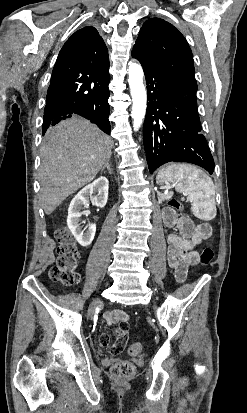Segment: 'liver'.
<instances>
[{
	"label": "liver",
	"instance_id": "1",
	"mask_svg": "<svg viewBox=\"0 0 247 413\" xmlns=\"http://www.w3.org/2000/svg\"><path fill=\"white\" fill-rule=\"evenodd\" d=\"M113 142L96 124L73 114L46 130L40 156V198L51 215L69 194L91 182L106 160Z\"/></svg>",
	"mask_w": 247,
	"mask_h": 413
}]
</instances>
